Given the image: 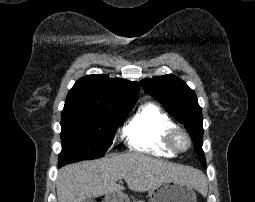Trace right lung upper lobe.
<instances>
[{
    "instance_id": "cb5924a9",
    "label": "right lung upper lobe",
    "mask_w": 255,
    "mask_h": 202,
    "mask_svg": "<svg viewBox=\"0 0 255 202\" xmlns=\"http://www.w3.org/2000/svg\"><path fill=\"white\" fill-rule=\"evenodd\" d=\"M139 84L106 75L80 78L69 91L62 116L102 113L134 106Z\"/></svg>"
}]
</instances>
